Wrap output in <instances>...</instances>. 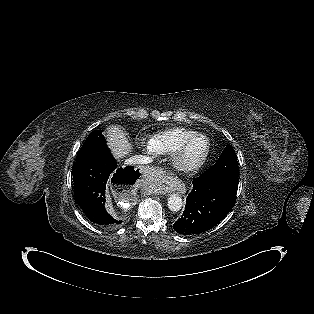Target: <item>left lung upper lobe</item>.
Segmentation results:
<instances>
[{"mask_svg": "<svg viewBox=\"0 0 314 314\" xmlns=\"http://www.w3.org/2000/svg\"><path fill=\"white\" fill-rule=\"evenodd\" d=\"M204 176H239L235 151L227 145L217 162L203 174Z\"/></svg>", "mask_w": 314, "mask_h": 314, "instance_id": "obj_1", "label": "left lung upper lobe"}]
</instances>
